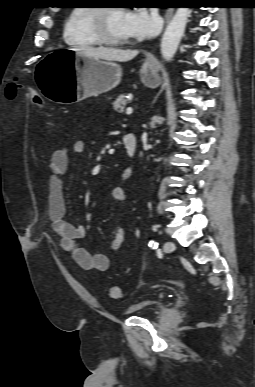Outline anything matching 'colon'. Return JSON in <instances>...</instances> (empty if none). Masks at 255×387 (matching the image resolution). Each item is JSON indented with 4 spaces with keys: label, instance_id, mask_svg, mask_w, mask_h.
Returning a JSON list of instances; mask_svg holds the SVG:
<instances>
[{
    "label": "colon",
    "instance_id": "1",
    "mask_svg": "<svg viewBox=\"0 0 255 387\" xmlns=\"http://www.w3.org/2000/svg\"><path fill=\"white\" fill-rule=\"evenodd\" d=\"M22 88L21 84H19L16 81H11L7 84L5 88V96L8 100H14L19 92V90ZM33 100L38 105H42V100L37 96V94L34 91L30 92ZM108 294L113 299H119L122 296V291L119 286L111 285L108 287Z\"/></svg>",
    "mask_w": 255,
    "mask_h": 387
}]
</instances>
